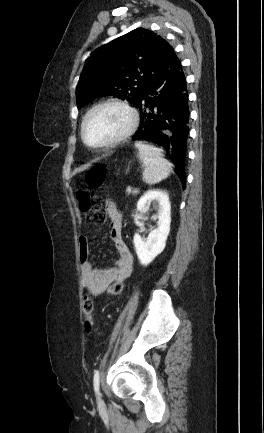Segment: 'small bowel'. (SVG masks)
Masks as SVG:
<instances>
[{
	"instance_id": "c3829d8e",
	"label": "small bowel",
	"mask_w": 264,
	"mask_h": 433,
	"mask_svg": "<svg viewBox=\"0 0 264 433\" xmlns=\"http://www.w3.org/2000/svg\"><path fill=\"white\" fill-rule=\"evenodd\" d=\"M105 211L111 222L110 238L118 253L116 265L108 269H97L89 259V240L85 236L79 238V260L83 288L93 297L103 294L114 282H124L132 273L133 256L122 236V217L116 204L110 200L105 202ZM85 329L91 331L85 321Z\"/></svg>"
}]
</instances>
